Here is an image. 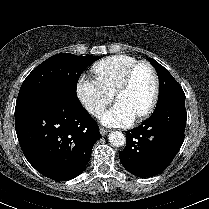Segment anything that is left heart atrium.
I'll return each mask as SVG.
<instances>
[{
	"mask_svg": "<svg viewBox=\"0 0 209 209\" xmlns=\"http://www.w3.org/2000/svg\"><path fill=\"white\" fill-rule=\"evenodd\" d=\"M135 114L121 101H116L111 108L105 111L101 122L107 126H128L135 120Z\"/></svg>",
	"mask_w": 209,
	"mask_h": 209,
	"instance_id": "obj_1",
	"label": "left heart atrium"
}]
</instances>
